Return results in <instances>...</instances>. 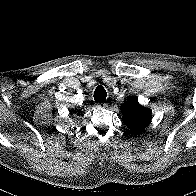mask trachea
<instances>
[{
  "instance_id": "trachea-1",
  "label": "trachea",
  "mask_w": 196,
  "mask_h": 196,
  "mask_svg": "<svg viewBox=\"0 0 196 196\" xmlns=\"http://www.w3.org/2000/svg\"><path fill=\"white\" fill-rule=\"evenodd\" d=\"M107 97V92L102 86H98L94 91V100L96 102H103Z\"/></svg>"
}]
</instances>
